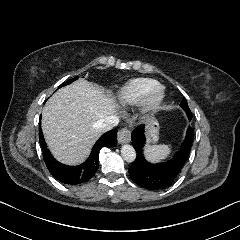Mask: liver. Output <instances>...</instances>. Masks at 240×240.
<instances>
[{
  "instance_id": "obj_1",
  "label": "liver",
  "mask_w": 240,
  "mask_h": 240,
  "mask_svg": "<svg viewBox=\"0 0 240 240\" xmlns=\"http://www.w3.org/2000/svg\"><path fill=\"white\" fill-rule=\"evenodd\" d=\"M120 110L115 96L83 77L58 89L41 116V130L53 158L71 167L84 164L103 133L96 123L108 115L119 116Z\"/></svg>"
}]
</instances>
